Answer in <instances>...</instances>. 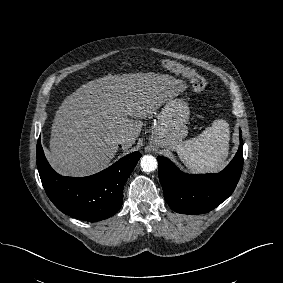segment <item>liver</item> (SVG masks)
Here are the masks:
<instances>
[{
	"label": "liver",
	"instance_id": "obj_1",
	"mask_svg": "<svg viewBox=\"0 0 283 283\" xmlns=\"http://www.w3.org/2000/svg\"><path fill=\"white\" fill-rule=\"evenodd\" d=\"M185 89L181 80L151 72L108 74L82 85L56 112L51 166L63 176L74 177L102 170L118 151L116 137L125 136L122 149H129L141 132V120Z\"/></svg>",
	"mask_w": 283,
	"mask_h": 283
}]
</instances>
